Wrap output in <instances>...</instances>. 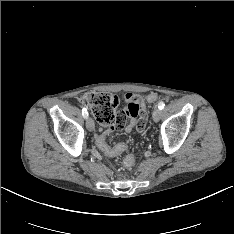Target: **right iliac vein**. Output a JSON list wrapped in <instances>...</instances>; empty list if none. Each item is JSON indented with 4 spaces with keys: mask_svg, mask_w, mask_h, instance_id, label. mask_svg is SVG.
I'll use <instances>...</instances> for the list:
<instances>
[{
    "mask_svg": "<svg viewBox=\"0 0 234 234\" xmlns=\"http://www.w3.org/2000/svg\"><path fill=\"white\" fill-rule=\"evenodd\" d=\"M86 127L89 131H93L95 129V124H94V121L91 117L87 118Z\"/></svg>",
    "mask_w": 234,
    "mask_h": 234,
    "instance_id": "63e3f726",
    "label": "right iliac vein"
}]
</instances>
